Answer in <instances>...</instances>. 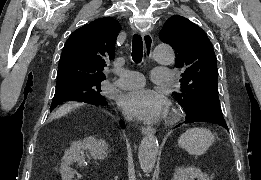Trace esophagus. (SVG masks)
Masks as SVG:
<instances>
[{"label":"esophagus","mask_w":261,"mask_h":180,"mask_svg":"<svg viewBox=\"0 0 261 180\" xmlns=\"http://www.w3.org/2000/svg\"><path fill=\"white\" fill-rule=\"evenodd\" d=\"M143 43L145 47L146 57L151 60L152 59V48H153V38L150 33L144 32L143 35ZM142 134L148 135L155 133V129L153 127H143Z\"/></svg>","instance_id":"obj_1"}]
</instances>
